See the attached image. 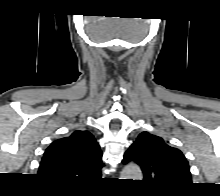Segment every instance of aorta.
Segmentation results:
<instances>
[{"label":"aorta","instance_id":"762f6f07","mask_svg":"<svg viewBox=\"0 0 220 196\" xmlns=\"http://www.w3.org/2000/svg\"><path fill=\"white\" fill-rule=\"evenodd\" d=\"M143 175L139 166L128 164L121 172V179L142 180Z\"/></svg>","mask_w":220,"mask_h":196}]
</instances>
